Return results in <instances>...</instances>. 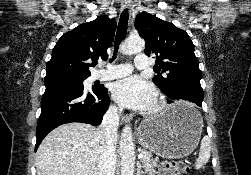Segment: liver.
Masks as SVG:
<instances>
[{
  "label": "liver",
  "instance_id": "6515ba94",
  "mask_svg": "<svg viewBox=\"0 0 251 175\" xmlns=\"http://www.w3.org/2000/svg\"><path fill=\"white\" fill-rule=\"evenodd\" d=\"M88 123H65L50 131L36 153L37 175H99L101 139Z\"/></svg>",
  "mask_w": 251,
  "mask_h": 175
}]
</instances>
